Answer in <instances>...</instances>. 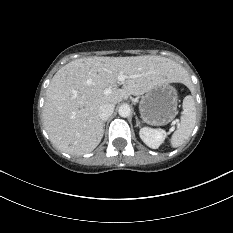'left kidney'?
<instances>
[{
    "instance_id": "left-kidney-1",
    "label": "left kidney",
    "mask_w": 233,
    "mask_h": 233,
    "mask_svg": "<svg viewBox=\"0 0 233 233\" xmlns=\"http://www.w3.org/2000/svg\"><path fill=\"white\" fill-rule=\"evenodd\" d=\"M142 141L150 148L157 149L164 142L166 132L162 129L144 127L139 132Z\"/></svg>"
}]
</instances>
